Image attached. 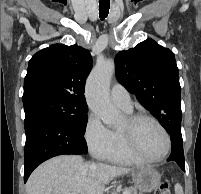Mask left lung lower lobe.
<instances>
[{
    "instance_id": "0a47b994",
    "label": "left lung lower lobe",
    "mask_w": 201,
    "mask_h": 194,
    "mask_svg": "<svg viewBox=\"0 0 201 194\" xmlns=\"http://www.w3.org/2000/svg\"><path fill=\"white\" fill-rule=\"evenodd\" d=\"M168 133L171 135L172 143V152L168 158V161H175L180 166V168L185 171L181 128L172 127Z\"/></svg>"
}]
</instances>
